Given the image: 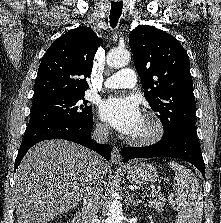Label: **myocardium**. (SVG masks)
<instances>
[{"instance_id":"obj_1","label":"myocardium","mask_w":221,"mask_h":223,"mask_svg":"<svg viewBox=\"0 0 221 223\" xmlns=\"http://www.w3.org/2000/svg\"><path fill=\"white\" fill-rule=\"evenodd\" d=\"M143 118L151 124L152 126L151 131L143 136L129 137L128 142L132 145L148 146L154 144L158 142L164 134L165 131L164 123L157 113L153 111H147L144 113Z\"/></svg>"}]
</instances>
